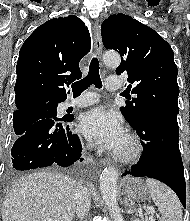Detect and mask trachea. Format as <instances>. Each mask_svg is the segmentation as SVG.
Returning <instances> with one entry per match:
<instances>
[{"label":"trachea","instance_id":"3493384b","mask_svg":"<svg viewBox=\"0 0 190 221\" xmlns=\"http://www.w3.org/2000/svg\"><path fill=\"white\" fill-rule=\"evenodd\" d=\"M92 84H94L96 88L102 87V81L99 74V62L97 58H93L91 60L88 75L71 85L74 96L80 95Z\"/></svg>","mask_w":190,"mask_h":221}]
</instances>
